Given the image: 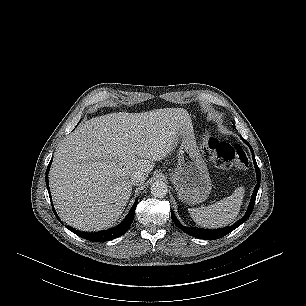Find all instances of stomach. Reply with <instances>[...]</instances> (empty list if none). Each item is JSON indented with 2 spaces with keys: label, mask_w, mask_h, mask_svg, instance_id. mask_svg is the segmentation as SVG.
I'll list each match as a JSON object with an SVG mask.
<instances>
[{
  "label": "stomach",
  "mask_w": 306,
  "mask_h": 306,
  "mask_svg": "<svg viewBox=\"0 0 306 306\" xmlns=\"http://www.w3.org/2000/svg\"><path fill=\"white\" fill-rule=\"evenodd\" d=\"M177 161L171 181L179 199L189 205L205 201L212 184L207 165L196 144L192 125L180 133Z\"/></svg>",
  "instance_id": "0dacf381"
}]
</instances>
